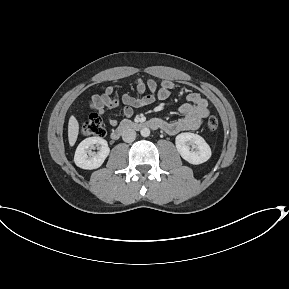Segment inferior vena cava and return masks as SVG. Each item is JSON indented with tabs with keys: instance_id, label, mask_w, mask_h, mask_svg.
<instances>
[{
	"instance_id": "602c4592",
	"label": "inferior vena cava",
	"mask_w": 289,
	"mask_h": 289,
	"mask_svg": "<svg viewBox=\"0 0 289 289\" xmlns=\"http://www.w3.org/2000/svg\"><path fill=\"white\" fill-rule=\"evenodd\" d=\"M136 138V132L133 129H125L122 132V139L124 142H133Z\"/></svg>"
}]
</instances>
